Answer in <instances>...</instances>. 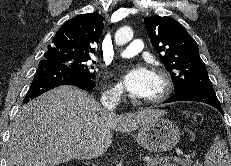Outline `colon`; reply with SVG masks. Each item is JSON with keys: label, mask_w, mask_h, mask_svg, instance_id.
Returning a JSON list of instances; mask_svg holds the SVG:
<instances>
[{"label": "colon", "mask_w": 231, "mask_h": 166, "mask_svg": "<svg viewBox=\"0 0 231 166\" xmlns=\"http://www.w3.org/2000/svg\"><path fill=\"white\" fill-rule=\"evenodd\" d=\"M193 120H194L195 122H200V121H201V117H200L199 115H195V116L193 117Z\"/></svg>", "instance_id": "1"}]
</instances>
